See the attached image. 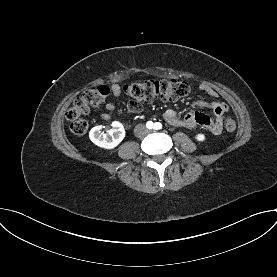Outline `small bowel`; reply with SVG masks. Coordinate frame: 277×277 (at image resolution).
<instances>
[{
  "label": "small bowel",
  "mask_w": 277,
  "mask_h": 277,
  "mask_svg": "<svg viewBox=\"0 0 277 277\" xmlns=\"http://www.w3.org/2000/svg\"><path fill=\"white\" fill-rule=\"evenodd\" d=\"M199 89L213 98H218L217 91L206 83H201ZM111 91L114 96H120L122 89L117 83L111 85ZM193 107H199L209 109L215 116V119H211L204 113L192 111L187 113L183 119L179 118V113L176 110L168 109L162 113V118L168 123L176 126H186L189 128L203 127L214 135H218L223 130V116L228 111V106L224 102L218 100H196L192 103ZM105 108L108 111H114L115 105L111 102L105 104ZM142 106L139 102L130 101L127 104L125 113L127 115H133L141 112ZM100 116L105 120H111L112 116L108 113H101Z\"/></svg>",
  "instance_id": "1"
}]
</instances>
